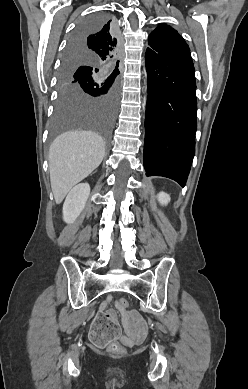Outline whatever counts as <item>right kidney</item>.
Listing matches in <instances>:
<instances>
[{
	"label": "right kidney",
	"mask_w": 248,
	"mask_h": 389,
	"mask_svg": "<svg viewBox=\"0 0 248 389\" xmlns=\"http://www.w3.org/2000/svg\"><path fill=\"white\" fill-rule=\"evenodd\" d=\"M90 195L88 183L76 185L67 195L63 204V220L66 223H73L83 211Z\"/></svg>",
	"instance_id": "right-kidney-1"
}]
</instances>
